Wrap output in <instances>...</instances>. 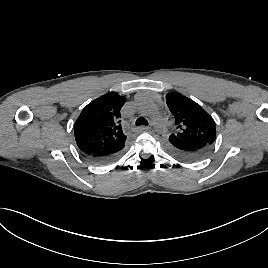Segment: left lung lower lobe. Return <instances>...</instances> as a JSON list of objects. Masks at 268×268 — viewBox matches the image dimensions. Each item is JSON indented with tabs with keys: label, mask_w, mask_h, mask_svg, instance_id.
<instances>
[{
	"label": "left lung lower lobe",
	"mask_w": 268,
	"mask_h": 268,
	"mask_svg": "<svg viewBox=\"0 0 268 268\" xmlns=\"http://www.w3.org/2000/svg\"><path fill=\"white\" fill-rule=\"evenodd\" d=\"M167 151L175 158L185 162H196L205 158L212 144L204 140H186L168 138L165 141Z\"/></svg>",
	"instance_id": "obj_1"
}]
</instances>
